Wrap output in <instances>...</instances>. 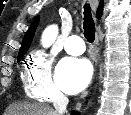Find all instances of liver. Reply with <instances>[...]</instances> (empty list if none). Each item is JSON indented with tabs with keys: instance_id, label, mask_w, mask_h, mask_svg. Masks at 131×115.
Listing matches in <instances>:
<instances>
[{
	"instance_id": "1",
	"label": "liver",
	"mask_w": 131,
	"mask_h": 115,
	"mask_svg": "<svg viewBox=\"0 0 131 115\" xmlns=\"http://www.w3.org/2000/svg\"><path fill=\"white\" fill-rule=\"evenodd\" d=\"M5 115H57L56 112L40 104L18 103L8 107Z\"/></svg>"
}]
</instances>
